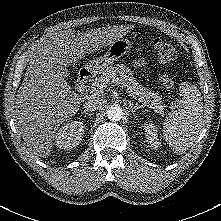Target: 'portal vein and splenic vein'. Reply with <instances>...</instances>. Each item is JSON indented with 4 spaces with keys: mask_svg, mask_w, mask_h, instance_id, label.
I'll return each mask as SVG.
<instances>
[{
    "mask_svg": "<svg viewBox=\"0 0 221 221\" xmlns=\"http://www.w3.org/2000/svg\"><path fill=\"white\" fill-rule=\"evenodd\" d=\"M113 82L116 83V84H119V79L116 77L113 79ZM104 86L103 85H97L96 87H92V92L94 94H99L101 91H103L104 89Z\"/></svg>",
    "mask_w": 221,
    "mask_h": 221,
    "instance_id": "18ae733b",
    "label": "portal vein and splenic vein"
}]
</instances>
